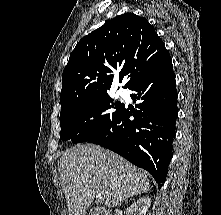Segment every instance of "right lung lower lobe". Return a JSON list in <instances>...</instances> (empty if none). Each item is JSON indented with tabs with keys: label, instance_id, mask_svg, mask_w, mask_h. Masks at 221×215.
<instances>
[{
	"label": "right lung lower lobe",
	"instance_id": "right-lung-lower-lobe-1",
	"mask_svg": "<svg viewBox=\"0 0 221 215\" xmlns=\"http://www.w3.org/2000/svg\"><path fill=\"white\" fill-rule=\"evenodd\" d=\"M128 89L137 109L123 107L115 123L87 142L104 146L165 182L177 117V90L171 57ZM130 116L134 119L130 120Z\"/></svg>",
	"mask_w": 221,
	"mask_h": 215
}]
</instances>
